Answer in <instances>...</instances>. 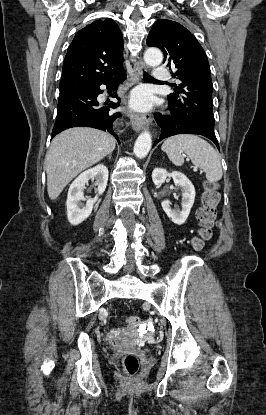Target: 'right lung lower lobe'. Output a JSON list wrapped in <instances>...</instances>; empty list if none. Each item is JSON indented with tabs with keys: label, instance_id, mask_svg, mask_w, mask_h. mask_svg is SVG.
Returning <instances> with one entry per match:
<instances>
[{
	"label": "right lung lower lobe",
	"instance_id": "right-lung-lower-lobe-1",
	"mask_svg": "<svg viewBox=\"0 0 266 415\" xmlns=\"http://www.w3.org/2000/svg\"><path fill=\"white\" fill-rule=\"evenodd\" d=\"M125 79L126 75L123 71L107 80L60 93L56 122L51 137L53 138L65 129L82 126L107 131L119 142L114 132V122L121 117V114L113 113L111 110V108L118 107L119 102H110L108 107H102L97 101V96L103 93L100 85L104 84L108 89H115ZM113 97L120 101L117 94H113Z\"/></svg>",
	"mask_w": 266,
	"mask_h": 415
}]
</instances>
